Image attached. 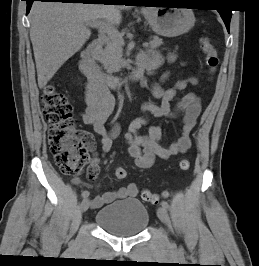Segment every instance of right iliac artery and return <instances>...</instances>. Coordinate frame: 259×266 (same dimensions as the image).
Wrapping results in <instances>:
<instances>
[{"instance_id":"right-iliac-artery-1","label":"right iliac artery","mask_w":259,"mask_h":266,"mask_svg":"<svg viewBox=\"0 0 259 266\" xmlns=\"http://www.w3.org/2000/svg\"><path fill=\"white\" fill-rule=\"evenodd\" d=\"M88 196H89V192L87 190H85V191L82 192V197L84 199L88 198Z\"/></svg>"}]
</instances>
